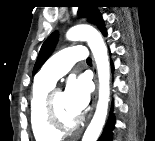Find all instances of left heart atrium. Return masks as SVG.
Listing matches in <instances>:
<instances>
[{"label": "left heart atrium", "instance_id": "obj_1", "mask_svg": "<svg viewBox=\"0 0 155 141\" xmlns=\"http://www.w3.org/2000/svg\"><path fill=\"white\" fill-rule=\"evenodd\" d=\"M64 97L69 109L79 116L87 107L90 99V88L86 78H72L68 81Z\"/></svg>", "mask_w": 155, "mask_h": 141}]
</instances>
